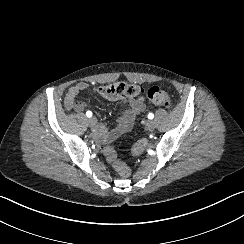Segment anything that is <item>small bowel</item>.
Here are the masks:
<instances>
[{"label":"small bowel","instance_id":"small-bowel-1","mask_svg":"<svg viewBox=\"0 0 244 244\" xmlns=\"http://www.w3.org/2000/svg\"><path fill=\"white\" fill-rule=\"evenodd\" d=\"M86 88L87 84L85 82H79L68 90L64 98V106L67 110H74L77 113L85 111L87 103L77 101V96L86 90ZM121 103L126 105V109L120 116L117 127L107 131L105 126H98L99 135L106 140H114L123 133L129 131L132 128L136 117L145 109V101L141 98H122Z\"/></svg>","mask_w":244,"mask_h":244}]
</instances>
